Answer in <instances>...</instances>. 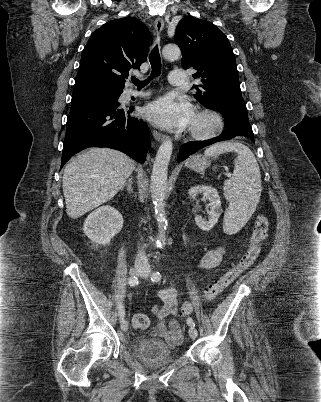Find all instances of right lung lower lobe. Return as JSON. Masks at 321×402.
<instances>
[{"label":"right lung lower lobe","mask_w":321,"mask_h":402,"mask_svg":"<svg viewBox=\"0 0 321 402\" xmlns=\"http://www.w3.org/2000/svg\"><path fill=\"white\" fill-rule=\"evenodd\" d=\"M133 107L95 101L71 103L63 143L61 168L76 153L88 147L119 150L137 162L145 161L150 145L147 125L130 116Z\"/></svg>","instance_id":"obj_1"}]
</instances>
